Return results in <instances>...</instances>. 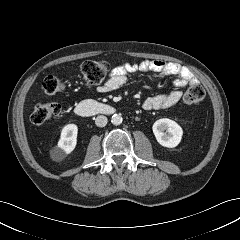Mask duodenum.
Returning a JSON list of instances; mask_svg holds the SVG:
<instances>
[{
    "instance_id": "duodenum-1",
    "label": "duodenum",
    "mask_w": 240,
    "mask_h": 240,
    "mask_svg": "<svg viewBox=\"0 0 240 240\" xmlns=\"http://www.w3.org/2000/svg\"><path fill=\"white\" fill-rule=\"evenodd\" d=\"M114 107L109 104L101 103L95 100H85L75 107V113L78 116H90L95 114H113Z\"/></svg>"
}]
</instances>
